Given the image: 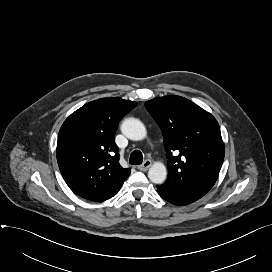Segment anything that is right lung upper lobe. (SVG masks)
Returning a JSON list of instances; mask_svg holds the SVG:
<instances>
[{
    "label": "right lung upper lobe",
    "mask_w": 272,
    "mask_h": 272,
    "mask_svg": "<svg viewBox=\"0 0 272 272\" xmlns=\"http://www.w3.org/2000/svg\"><path fill=\"white\" fill-rule=\"evenodd\" d=\"M137 105L118 97L89 102L72 113L60 128L57 162L78 196L105 201L118 193L130 175L119 164L114 135L119 121Z\"/></svg>",
    "instance_id": "obj_1"
}]
</instances>
